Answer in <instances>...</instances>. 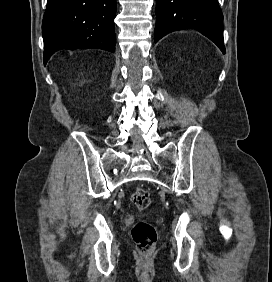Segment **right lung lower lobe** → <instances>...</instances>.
Listing matches in <instances>:
<instances>
[{
	"label": "right lung lower lobe",
	"mask_w": 272,
	"mask_h": 282,
	"mask_svg": "<svg viewBox=\"0 0 272 282\" xmlns=\"http://www.w3.org/2000/svg\"><path fill=\"white\" fill-rule=\"evenodd\" d=\"M116 0H48L42 23L44 65L62 49L115 51Z\"/></svg>",
	"instance_id": "1"
}]
</instances>
